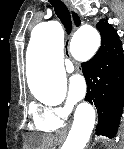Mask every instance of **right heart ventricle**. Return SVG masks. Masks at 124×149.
<instances>
[{"label": "right heart ventricle", "instance_id": "1", "mask_svg": "<svg viewBox=\"0 0 124 149\" xmlns=\"http://www.w3.org/2000/svg\"><path fill=\"white\" fill-rule=\"evenodd\" d=\"M37 131L39 132H49V131H52L54 130L53 128H50V127H46V126H38V125H35L33 126Z\"/></svg>", "mask_w": 124, "mask_h": 149}]
</instances>
